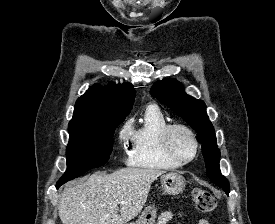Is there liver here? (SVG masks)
Segmentation results:
<instances>
[{
	"label": "liver",
	"mask_w": 275,
	"mask_h": 224,
	"mask_svg": "<svg viewBox=\"0 0 275 224\" xmlns=\"http://www.w3.org/2000/svg\"><path fill=\"white\" fill-rule=\"evenodd\" d=\"M164 173L158 169L124 168L68 184L59 198L62 224H126L141 212L151 184ZM120 201L123 203L118 204Z\"/></svg>",
	"instance_id": "liver-1"
}]
</instances>
